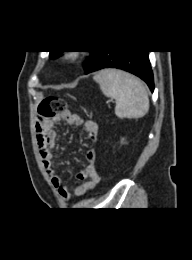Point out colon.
Masks as SVG:
<instances>
[{"label": "colon", "mask_w": 192, "mask_h": 260, "mask_svg": "<svg viewBox=\"0 0 192 260\" xmlns=\"http://www.w3.org/2000/svg\"><path fill=\"white\" fill-rule=\"evenodd\" d=\"M39 118L41 120H51L64 117L68 113L65 101L59 97H47L39 105Z\"/></svg>", "instance_id": "obj_1"}]
</instances>
